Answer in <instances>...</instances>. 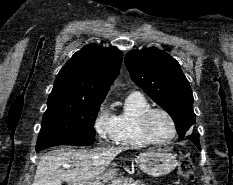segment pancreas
Masks as SVG:
<instances>
[{"label":"pancreas","instance_id":"pancreas-1","mask_svg":"<svg viewBox=\"0 0 233 185\" xmlns=\"http://www.w3.org/2000/svg\"><path fill=\"white\" fill-rule=\"evenodd\" d=\"M108 185H146L142 181H134L132 179L124 178V177H118L112 180L111 184Z\"/></svg>","mask_w":233,"mask_h":185}]
</instances>
